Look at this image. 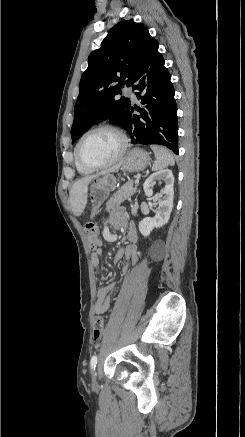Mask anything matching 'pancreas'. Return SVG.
<instances>
[{"mask_svg":"<svg viewBox=\"0 0 245 437\" xmlns=\"http://www.w3.org/2000/svg\"><path fill=\"white\" fill-rule=\"evenodd\" d=\"M137 190V186H133V180L126 182L106 203V209L110 210L120 205L123 201L129 199Z\"/></svg>","mask_w":245,"mask_h":437,"instance_id":"pancreas-1","label":"pancreas"}]
</instances>
